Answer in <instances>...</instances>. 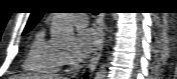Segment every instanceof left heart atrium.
Returning a JSON list of instances; mask_svg holds the SVG:
<instances>
[{
  "instance_id": "obj_1",
  "label": "left heart atrium",
  "mask_w": 177,
  "mask_h": 79,
  "mask_svg": "<svg viewBox=\"0 0 177 79\" xmlns=\"http://www.w3.org/2000/svg\"><path fill=\"white\" fill-rule=\"evenodd\" d=\"M98 44L96 32L91 28H81L75 37L74 56L77 60H84L95 50Z\"/></svg>"
}]
</instances>
